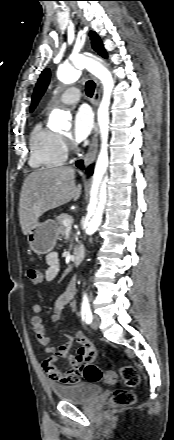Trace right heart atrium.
I'll return each mask as SVG.
<instances>
[{"label": "right heart atrium", "instance_id": "d8ad5b80", "mask_svg": "<svg viewBox=\"0 0 174 440\" xmlns=\"http://www.w3.org/2000/svg\"><path fill=\"white\" fill-rule=\"evenodd\" d=\"M63 144L65 146V148L67 147V141L63 138Z\"/></svg>", "mask_w": 174, "mask_h": 440}]
</instances>
